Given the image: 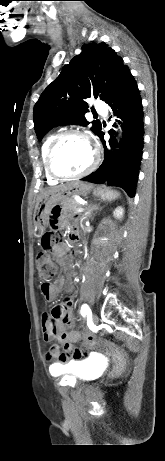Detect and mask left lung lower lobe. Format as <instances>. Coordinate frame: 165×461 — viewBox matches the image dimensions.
Returning <instances> with one entry per match:
<instances>
[{
	"instance_id": "1",
	"label": "left lung lower lobe",
	"mask_w": 165,
	"mask_h": 461,
	"mask_svg": "<svg viewBox=\"0 0 165 461\" xmlns=\"http://www.w3.org/2000/svg\"><path fill=\"white\" fill-rule=\"evenodd\" d=\"M113 110V114L123 122L121 128L123 136L115 149L113 143L114 132L110 131L109 150L104 141V133L100 137L105 158L101 166L90 175L82 178L83 181L108 184L123 188L130 197H134L142 158L144 123L143 107L138 86L129 68L124 71L112 94L105 101Z\"/></svg>"
}]
</instances>
